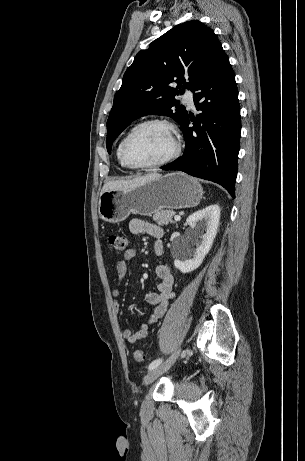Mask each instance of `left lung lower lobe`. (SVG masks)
Returning a JSON list of instances; mask_svg holds the SVG:
<instances>
[{
  "label": "left lung lower lobe",
  "instance_id": "obj_1",
  "mask_svg": "<svg viewBox=\"0 0 305 461\" xmlns=\"http://www.w3.org/2000/svg\"><path fill=\"white\" fill-rule=\"evenodd\" d=\"M192 91H197L194 104L202 113L184 118V154L161 168L211 180L235 197L241 118L235 75L223 49Z\"/></svg>",
  "mask_w": 305,
  "mask_h": 461
}]
</instances>
